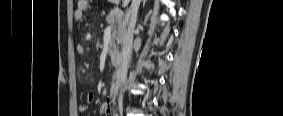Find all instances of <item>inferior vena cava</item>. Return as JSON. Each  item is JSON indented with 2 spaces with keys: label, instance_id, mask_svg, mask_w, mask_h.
Wrapping results in <instances>:
<instances>
[{
  "label": "inferior vena cava",
  "instance_id": "obj_1",
  "mask_svg": "<svg viewBox=\"0 0 283 116\" xmlns=\"http://www.w3.org/2000/svg\"><path fill=\"white\" fill-rule=\"evenodd\" d=\"M140 2L141 0H132L128 29L123 38L121 64L117 72L118 79L121 84L125 83L126 77H127V71H128V66H129V61H130L131 51H132L134 27L136 24ZM119 101L120 102L122 101V91L119 94Z\"/></svg>",
  "mask_w": 283,
  "mask_h": 116
}]
</instances>
